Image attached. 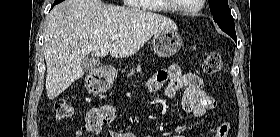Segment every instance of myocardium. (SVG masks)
Listing matches in <instances>:
<instances>
[{
	"mask_svg": "<svg viewBox=\"0 0 280 137\" xmlns=\"http://www.w3.org/2000/svg\"><path fill=\"white\" fill-rule=\"evenodd\" d=\"M198 2H199V5L195 8H178L177 6H173V5L169 6V7L172 9V11H175V12H183V13H188V14L197 13L202 10L204 0H198Z\"/></svg>",
	"mask_w": 280,
	"mask_h": 137,
	"instance_id": "f54148a6",
	"label": "myocardium"
}]
</instances>
